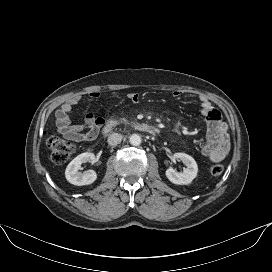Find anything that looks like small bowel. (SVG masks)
I'll return each mask as SVG.
<instances>
[{
    "instance_id": "c3829d8e",
    "label": "small bowel",
    "mask_w": 272,
    "mask_h": 272,
    "mask_svg": "<svg viewBox=\"0 0 272 272\" xmlns=\"http://www.w3.org/2000/svg\"><path fill=\"white\" fill-rule=\"evenodd\" d=\"M173 95L179 97L182 93L175 91ZM89 97L91 99H98L100 93L92 91ZM127 97L134 103L139 101V95L136 93H129ZM79 101V96H72L61 105L56 112V126L59 133L68 140L90 142L98 136L104 119L101 116L88 113L84 118L83 124L73 122L71 111L73 106L78 104ZM200 102L199 123L205 125L207 129V137L201 147L202 154L213 163L222 162L226 159L230 148L227 125L223 122L220 111L213 107L206 98L201 97Z\"/></svg>"
}]
</instances>
